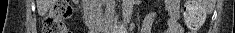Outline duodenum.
<instances>
[{
  "instance_id": "duodenum-1",
  "label": "duodenum",
  "mask_w": 235,
  "mask_h": 33,
  "mask_svg": "<svg viewBox=\"0 0 235 33\" xmlns=\"http://www.w3.org/2000/svg\"><path fill=\"white\" fill-rule=\"evenodd\" d=\"M86 24L92 33H97L101 29V14L98 7L93 1H88L86 4Z\"/></svg>"
}]
</instances>
